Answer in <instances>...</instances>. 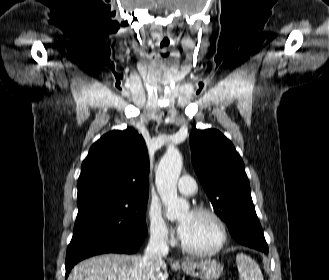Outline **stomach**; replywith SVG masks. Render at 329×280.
<instances>
[{
  "instance_id": "0dacf381",
  "label": "stomach",
  "mask_w": 329,
  "mask_h": 280,
  "mask_svg": "<svg viewBox=\"0 0 329 280\" xmlns=\"http://www.w3.org/2000/svg\"><path fill=\"white\" fill-rule=\"evenodd\" d=\"M182 270L201 280H217L223 273L222 265L213 259H202L182 265Z\"/></svg>"
}]
</instances>
